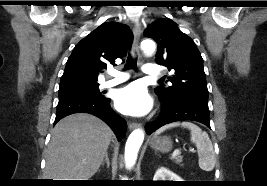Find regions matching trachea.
Segmentation results:
<instances>
[{"mask_svg":"<svg viewBox=\"0 0 267 186\" xmlns=\"http://www.w3.org/2000/svg\"><path fill=\"white\" fill-rule=\"evenodd\" d=\"M137 68V58H133L130 54H128L125 69H136Z\"/></svg>","mask_w":267,"mask_h":186,"instance_id":"obj_1","label":"trachea"}]
</instances>
